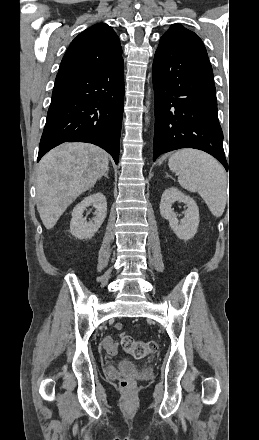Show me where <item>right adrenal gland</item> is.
Segmentation results:
<instances>
[{
    "label": "right adrenal gland",
    "mask_w": 259,
    "mask_h": 440,
    "mask_svg": "<svg viewBox=\"0 0 259 440\" xmlns=\"http://www.w3.org/2000/svg\"><path fill=\"white\" fill-rule=\"evenodd\" d=\"M103 176L108 179V171Z\"/></svg>",
    "instance_id": "2a0ac1e0"
}]
</instances>
